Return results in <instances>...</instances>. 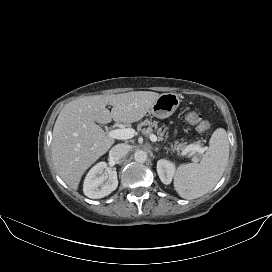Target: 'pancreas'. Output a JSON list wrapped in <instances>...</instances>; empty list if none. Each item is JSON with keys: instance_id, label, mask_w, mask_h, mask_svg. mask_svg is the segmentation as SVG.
I'll list each match as a JSON object with an SVG mask.
<instances>
[{"instance_id": "cf45deb5", "label": "pancreas", "mask_w": 272, "mask_h": 272, "mask_svg": "<svg viewBox=\"0 0 272 272\" xmlns=\"http://www.w3.org/2000/svg\"><path fill=\"white\" fill-rule=\"evenodd\" d=\"M142 126H148V127L142 128ZM152 128H155V131L157 132L159 140H163L164 137L165 138L167 137L166 131L162 130L161 128H158V124L156 121L151 122L149 120H146L138 125V130L142 131L145 135H149L150 131H152ZM192 146H200V143L190 144V145H186V143H181L176 145L174 147V150H176L178 153L186 152L187 154L190 152L191 154H194L196 151L190 150L192 149Z\"/></svg>"}]
</instances>
